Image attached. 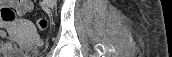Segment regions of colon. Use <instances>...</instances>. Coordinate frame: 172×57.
<instances>
[{
    "mask_svg": "<svg viewBox=\"0 0 172 57\" xmlns=\"http://www.w3.org/2000/svg\"><path fill=\"white\" fill-rule=\"evenodd\" d=\"M0 19L4 23H12L15 20V11L8 6L0 7ZM36 26L40 30H44L48 26V21L45 18H39L36 21Z\"/></svg>",
    "mask_w": 172,
    "mask_h": 57,
    "instance_id": "colon-1",
    "label": "colon"
}]
</instances>
